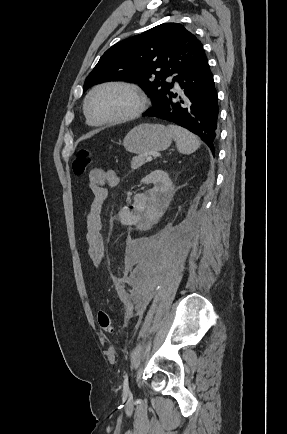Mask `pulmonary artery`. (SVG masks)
Wrapping results in <instances>:
<instances>
[{"instance_id": "pulmonary-artery-1", "label": "pulmonary artery", "mask_w": 287, "mask_h": 434, "mask_svg": "<svg viewBox=\"0 0 287 434\" xmlns=\"http://www.w3.org/2000/svg\"><path fill=\"white\" fill-rule=\"evenodd\" d=\"M169 81L173 82V85H174L175 88H177V89L179 88V85H178L177 81L174 80L172 77L169 79Z\"/></svg>"}]
</instances>
